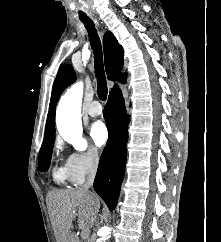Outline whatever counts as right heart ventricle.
Returning <instances> with one entry per match:
<instances>
[{
  "mask_svg": "<svg viewBox=\"0 0 221 242\" xmlns=\"http://www.w3.org/2000/svg\"><path fill=\"white\" fill-rule=\"evenodd\" d=\"M53 178L57 183H63L68 179L65 166H55L53 169Z\"/></svg>",
  "mask_w": 221,
  "mask_h": 242,
  "instance_id": "e07e8e85",
  "label": "right heart ventricle"
}]
</instances>
